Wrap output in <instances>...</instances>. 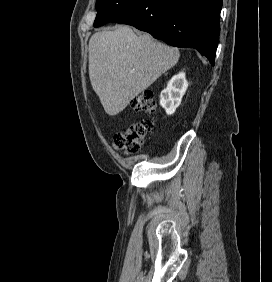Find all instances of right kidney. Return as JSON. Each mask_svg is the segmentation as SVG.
Masks as SVG:
<instances>
[{
	"instance_id": "obj_1",
	"label": "right kidney",
	"mask_w": 272,
	"mask_h": 282,
	"mask_svg": "<svg viewBox=\"0 0 272 282\" xmlns=\"http://www.w3.org/2000/svg\"><path fill=\"white\" fill-rule=\"evenodd\" d=\"M188 87L184 72L174 75L168 82L167 87L160 94V105L168 115L175 112L180 105L183 95Z\"/></svg>"
}]
</instances>
